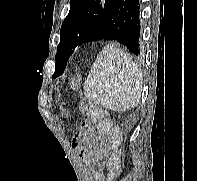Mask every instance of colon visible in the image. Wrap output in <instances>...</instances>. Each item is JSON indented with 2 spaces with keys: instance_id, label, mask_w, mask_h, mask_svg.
<instances>
[{
  "instance_id": "5ec220e1",
  "label": "colon",
  "mask_w": 197,
  "mask_h": 181,
  "mask_svg": "<svg viewBox=\"0 0 197 181\" xmlns=\"http://www.w3.org/2000/svg\"><path fill=\"white\" fill-rule=\"evenodd\" d=\"M78 84L79 78L77 76L73 77L72 85L77 86ZM80 110L87 122L93 124L107 140L110 148V154L107 161L109 171L108 176L109 179L112 180L119 174L120 171V153L118 151V145L121 140L120 129L113 125L105 110L88 101H82L80 103Z\"/></svg>"
}]
</instances>
